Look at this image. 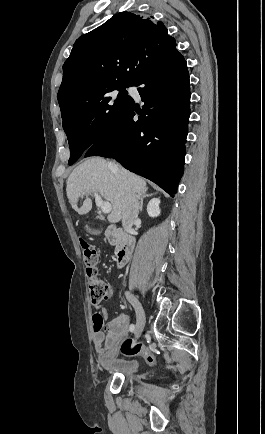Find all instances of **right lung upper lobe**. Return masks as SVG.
<instances>
[{
	"label": "right lung upper lobe",
	"instance_id": "right-lung-upper-lobe-1",
	"mask_svg": "<svg viewBox=\"0 0 265 434\" xmlns=\"http://www.w3.org/2000/svg\"><path fill=\"white\" fill-rule=\"evenodd\" d=\"M175 47V39L161 21L118 13L76 40L63 65L57 97L106 79L134 83L147 67Z\"/></svg>",
	"mask_w": 265,
	"mask_h": 434
}]
</instances>
